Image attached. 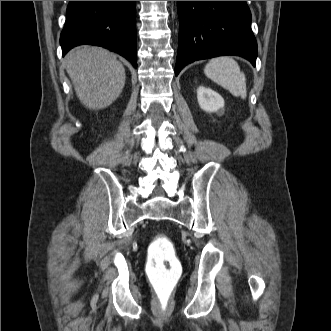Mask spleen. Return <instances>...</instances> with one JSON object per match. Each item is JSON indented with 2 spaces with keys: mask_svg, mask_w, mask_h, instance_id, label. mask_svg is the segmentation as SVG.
<instances>
[{
  "mask_svg": "<svg viewBox=\"0 0 331 331\" xmlns=\"http://www.w3.org/2000/svg\"><path fill=\"white\" fill-rule=\"evenodd\" d=\"M204 73L208 78L229 90L233 96L246 98V78L233 58L221 56L211 59L206 64Z\"/></svg>",
  "mask_w": 331,
  "mask_h": 331,
  "instance_id": "1",
  "label": "spleen"
}]
</instances>
